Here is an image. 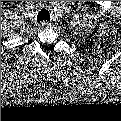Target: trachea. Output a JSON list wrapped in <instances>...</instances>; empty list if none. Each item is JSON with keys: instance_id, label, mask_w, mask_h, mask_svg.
<instances>
[{"instance_id": "3493384b", "label": "trachea", "mask_w": 121, "mask_h": 121, "mask_svg": "<svg viewBox=\"0 0 121 121\" xmlns=\"http://www.w3.org/2000/svg\"><path fill=\"white\" fill-rule=\"evenodd\" d=\"M37 20H38V21H43V20L49 21V20H50V14H49L48 10L42 9V10L38 13V15H37Z\"/></svg>"}]
</instances>
